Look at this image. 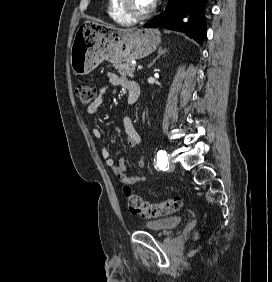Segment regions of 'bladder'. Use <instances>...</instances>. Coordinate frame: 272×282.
I'll use <instances>...</instances> for the list:
<instances>
[{"mask_svg":"<svg viewBox=\"0 0 272 282\" xmlns=\"http://www.w3.org/2000/svg\"><path fill=\"white\" fill-rule=\"evenodd\" d=\"M182 219H183L182 216L174 215L156 221L145 223L144 228L148 231H153V232L166 231L178 226L182 222Z\"/></svg>","mask_w":272,"mask_h":282,"instance_id":"bladder-1","label":"bladder"}]
</instances>
